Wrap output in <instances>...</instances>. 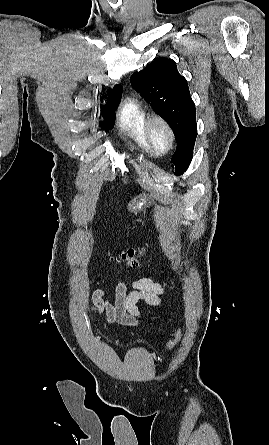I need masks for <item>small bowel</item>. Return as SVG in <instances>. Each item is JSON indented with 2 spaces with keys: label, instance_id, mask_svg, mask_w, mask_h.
Wrapping results in <instances>:
<instances>
[{
  "label": "small bowel",
  "instance_id": "obj_1",
  "mask_svg": "<svg viewBox=\"0 0 269 445\" xmlns=\"http://www.w3.org/2000/svg\"><path fill=\"white\" fill-rule=\"evenodd\" d=\"M167 287L165 282H156L150 277H141L132 282V290L128 291L124 282L115 287V303L105 299V290L97 289L93 294L92 310L104 314L110 323L134 327L140 319L148 317L139 307V302L150 306H160L161 296Z\"/></svg>",
  "mask_w": 269,
  "mask_h": 445
}]
</instances>
